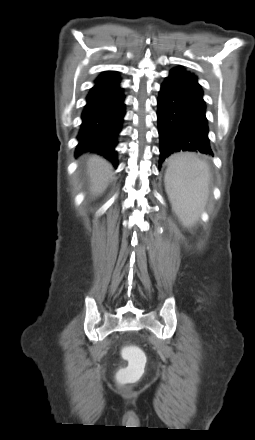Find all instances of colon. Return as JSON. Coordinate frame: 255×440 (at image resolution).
<instances>
[{
    "instance_id": "colon-1",
    "label": "colon",
    "mask_w": 255,
    "mask_h": 440,
    "mask_svg": "<svg viewBox=\"0 0 255 440\" xmlns=\"http://www.w3.org/2000/svg\"><path fill=\"white\" fill-rule=\"evenodd\" d=\"M123 358L129 362V365L120 374V380L123 383L133 382L140 377L143 371V354L141 350L134 345H127L122 349Z\"/></svg>"
}]
</instances>
